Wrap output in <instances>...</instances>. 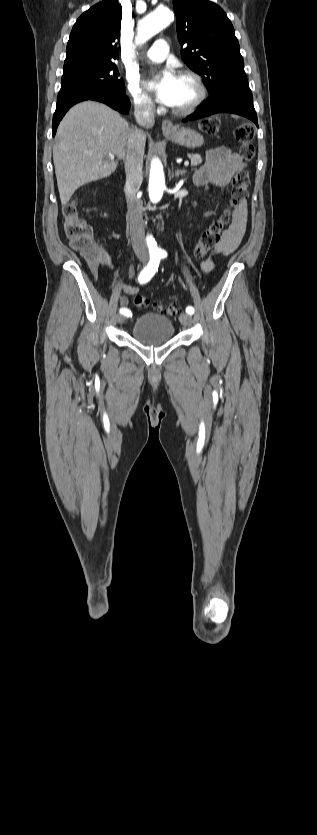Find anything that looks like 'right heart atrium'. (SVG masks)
I'll use <instances>...</instances> for the list:
<instances>
[{
    "instance_id": "1",
    "label": "right heart atrium",
    "mask_w": 317,
    "mask_h": 835,
    "mask_svg": "<svg viewBox=\"0 0 317 835\" xmlns=\"http://www.w3.org/2000/svg\"><path fill=\"white\" fill-rule=\"evenodd\" d=\"M126 90L136 111L142 114H151L154 112V102L150 96L140 88L136 79L132 77H128L126 79Z\"/></svg>"
}]
</instances>
